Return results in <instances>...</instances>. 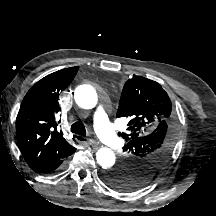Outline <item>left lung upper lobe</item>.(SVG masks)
Masks as SVG:
<instances>
[{
	"instance_id": "left-lung-upper-lobe-1",
	"label": "left lung upper lobe",
	"mask_w": 216,
	"mask_h": 216,
	"mask_svg": "<svg viewBox=\"0 0 216 216\" xmlns=\"http://www.w3.org/2000/svg\"><path fill=\"white\" fill-rule=\"evenodd\" d=\"M117 117L128 120L124 155L104 172V181L120 191H134L151 182L170 157L178 138L177 112L161 85L133 75L122 90Z\"/></svg>"
}]
</instances>
